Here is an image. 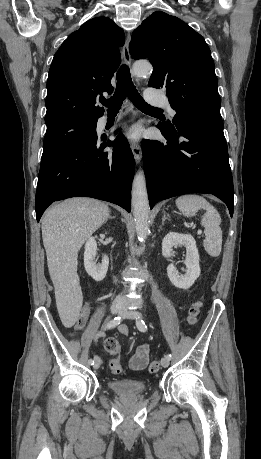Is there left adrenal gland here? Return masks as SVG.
I'll list each match as a JSON object with an SVG mask.
<instances>
[{
    "mask_svg": "<svg viewBox=\"0 0 261 459\" xmlns=\"http://www.w3.org/2000/svg\"><path fill=\"white\" fill-rule=\"evenodd\" d=\"M165 220H169L170 221V218H169V216H166V214L164 213L163 214V218H162V225H164Z\"/></svg>",
    "mask_w": 261,
    "mask_h": 459,
    "instance_id": "left-adrenal-gland-1",
    "label": "left adrenal gland"
}]
</instances>
